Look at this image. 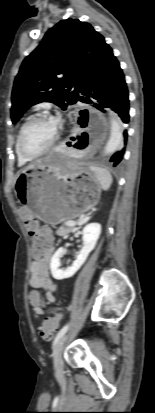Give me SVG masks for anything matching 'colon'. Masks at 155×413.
<instances>
[{
	"label": "colon",
	"instance_id": "5ec220e1",
	"mask_svg": "<svg viewBox=\"0 0 155 413\" xmlns=\"http://www.w3.org/2000/svg\"><path fill=\"white\" fill-rule=\"evenodd\" d=\"M34 237V245L32 249V255L36 260H41L46 254L47 250V241L46 238L38 233V231H30ZM39 298L37 295L31 296L32 303L36 304ZM60 315L56 314L54 316H48L44 319L43 324L40 328V334L44 339H50L51 336L57 331Z\"/></svg>",
	"mask_w": 155,
	"mask_h": 413
}]
</instances>
